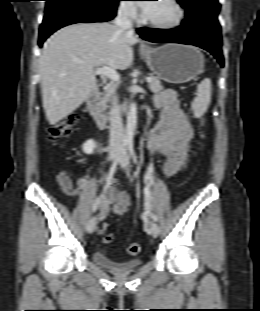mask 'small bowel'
<instances>
[{
	"mask_svg": "<svg viewBox=\"0 0 260 311\" xmlns=\"http://www.w3.org/2000/svg\"><path fill=\"white\" fill-rule=\"evenodd\" d=\"M156 108L161 109L160 119L149 131L147 147L152 155L161 158L166 177L177 173L186 163L189 156V144L193 138V128L181 109L177 95L173 90L159 93L154 100ZM62 191L69 196L78 194L86 186L85 178L79 179V189L75 190L66 171L56 175ZM119 182L111 180L109 189L99 205L98 219H105L110 212L123 215L130 207L129 197L119 190Z\"/></svg>",
	"mask_w": 260,
	"mask_h": 311,
	"instance_id": "small-bowel-1",
	"label": "small bowel"
}]
</instances>
